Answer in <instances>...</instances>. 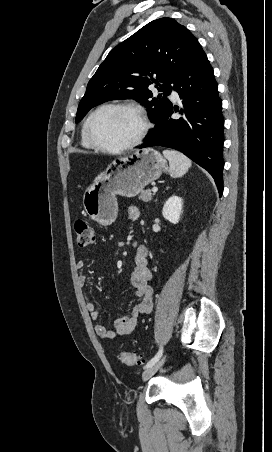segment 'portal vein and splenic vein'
<instances>
[{"label": "portal vein and splenic vein", "mask_w": 272, "mask_h": 452, "mask_svg": "<svg viewBox=\"0 0 272 452\" xmlns=\"http://www.w3.org/2000/svg\"><path fill=\"white\" fill-rule=\"evenodd\" d=\"M157 191H158V188H157V187H153V188H152V192H153V193H156Z\"/></svg>", "instance_id": "portal-vein-and-splenic-vein-1"}]
</instances>
